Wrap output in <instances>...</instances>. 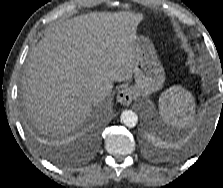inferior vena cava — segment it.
Listing matches in <instances>:
<instances>
[{
    "mask_svg": "<svg viewBox=\"0 0 223 188\" xmlns=\"http://www.w3.org/2000/svg\"><path fill=\"white\" fill-rule=\"evenodd\" d=\"M109 94L107 87H97L90 91L89 97L93 103H99L103 101Z\"/></svg>",
    "mask_w": 223,
    "mask_h": 188,
    "instance_id": "inferior-vena-cava-1",
    "label": "inferior vena cava"
}]
</instances>
